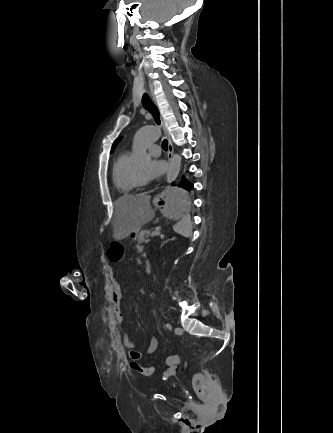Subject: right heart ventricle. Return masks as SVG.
<instances>
[{"mask_svg":"<svg viewBox=\"0 0 333 433\" xmlns=\"http://www.w3.org/2000/svg\"><path fill=\"white\" fill-rule=\"evenodd\" d=\"M130 167L129 153H119L113 164L112 179L118 192L123 195L130 193L134 187L129 179Z\"/></svg>","mask_w":333,"mask_h":433,"instance_id":"obj_1","label":"right heart ventricle"}]
</instances>
